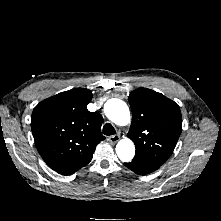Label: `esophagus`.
Masks as SVG:
<instances>
[{"mask_svg": "<svg viewBox=\"0 0 221 221\" xmlns=\"http://www.w3.org/2000/svg\"><path fill=\"white\" fill-rule=\"evenodd\" d=\"M119 140H120V135L118 134L108 137V141L111 144H116Z\"/></svg>", "mask_w": 221, "mask_h": 221, "instance_id": "1", "label": "esophagus"}]
</instances>
